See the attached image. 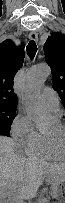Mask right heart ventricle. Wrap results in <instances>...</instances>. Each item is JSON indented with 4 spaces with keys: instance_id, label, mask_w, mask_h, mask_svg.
Returning a JSON list of instances; mask_svg holds the SVG:
<instances>
[{
    "instance_id": "e07e8e85",
    "label": "right heart ventricle",
    "mask_w": 65,
    "mask_h": 203,
    "mask_svg": "<svg viewBox=\"0 0 65 203\" xmlns=\"http://www.w3.org/2000/svg\"><path fill=\"white\" fill-rule=\"evenodd\" d=\"M27 154L29 157L42 160H58L62 157L61 154L53 151L45 134H39L37 142L27 151Z\"/></svg>"
}]
</instances>
